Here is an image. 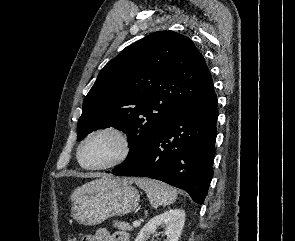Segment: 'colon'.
Here are the masks:
<instances>
[{"label": "colon", "mask_w": 295, "mask_h": 241, "mask_svg": "<svg viewBox=\"0 0 295 241\" xmlns=\"http://www.w3.org/2000/svg\"><path fill=\"white\" fill-rule=\"evenodd\" d=\"M67 241H76L74 238H69Z\"/></svg>", "instance_id": "colon-1"}]
</instances>
